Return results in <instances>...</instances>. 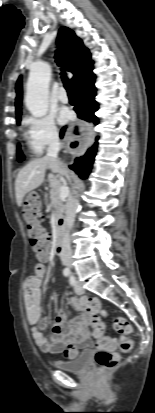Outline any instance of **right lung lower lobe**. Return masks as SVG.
Returning <instances> with one entry per match:
<instances>
[{
	"label": "right lung lower lobe",
	"mask_w": 155,
	"mask_h": 413,
	"mask_svg": "<svg viewBox=\"0 0 155 413\" xmlns=\"http://www.w3.org/2000/svg\"><path fill=\"white\" fill-rule=\"evenodd\" d=\"M95 75L90 74L81 79L75 86L74 90L77 97V105L74 110L77 112L78 117L88 122L93 121L94 124H98V118L95 116V112L98 110V103L95 101L96 88ZM65 127L62 128L60 136L63 137ZM98 137L96 138V140ZM97 151V142L87 150V152L75 159V163L70 166L80 178L86 179L91 171L94 157Z\"/></svg>",
	"instance_id": "obj_1"
}]
</instances>
